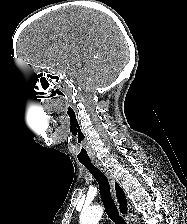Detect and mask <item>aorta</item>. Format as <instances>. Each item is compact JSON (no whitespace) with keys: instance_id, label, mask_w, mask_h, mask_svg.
<instances>
[{"instance_id":"1","label":"aorta","mask_w":187,"mask_h":224,"mask_svg":"<svg viewBox=\"0 0 187 224\" xmlns=\"http://www.w3.org/2000/svg\"><path fill=\"white\" fill-rule=\"evenodd\" d=\"M103 214V208L101 206H93L83 209L80 214V224H98Z\"/></svg>"}]
</instances>
